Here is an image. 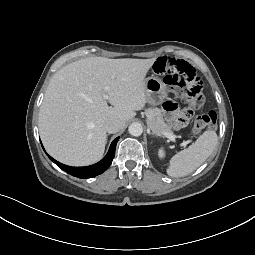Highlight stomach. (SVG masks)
I'll use <instances>...</instances> for the list:
<instances>
[{
    "mask_svg": "<svg viewBox=\"0 0 255 255\" xmlns=\"http://www.w3.org/2000/svg\"><path fill=\"white\" fill-rule=\"evenodd\" d=\"M145 93L147 102L151 105L163 104L168 96L166 85L156 77L145 79Z\"/></svg>",
    "mask_w": 255,
    "mask_h": 255,
    "instance_id": "obj_1",
    "label": "stomach"
}]
</instances>
